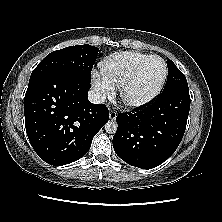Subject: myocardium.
Masks as SVG:
<instances>
[{"label":"myocardium","mask_w":222,"mask_h":222,"mask_svg":"<svg viewBox=\"0 0 222 222\" xmlns=\"http://www.w3.org/2000/svg\"><path fill=\"white\" fill-rule=\"evenodd\" d=\"M153 59H160L164 66V73H163V77L160 83L155 88V90L151 92L149 95H147L146 97H143L141 99L131 98L129 96L130 89L138 81L146 65ZM167 77H168V66H167L166 61L158 55H151L136 68L134 73L120 87V95H121L122 101L124 102L125 105L131 108H141L148 105L160 95L167 81Z\"/></svg>","instance_id":"1"}]
</instances>
